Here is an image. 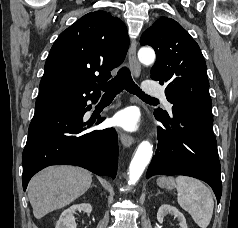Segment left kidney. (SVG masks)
Segmentation results:
<instances>
[{"label": "left kidney", "mask_w": 238, "mask_h": 228, "mask_svg": "<svg viewBox=\"0 0 238 228\" xmlns=\"http://www.w3.org/2000/svg\"><path fill=\"white\" fill-rule=\"evenodd\" d=\"M173 215L179 221L180 228H188L184 215L176 208L168 204L160 206L157 212V220L159 223H163L164 218L168 215Z\"/></svg>", "instance_id": "1"}]
</instances>
